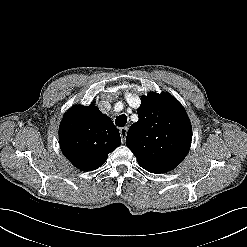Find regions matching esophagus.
Returning a JSON list of instances; mask_svg holds the SVG:
<instances>
[{"label":"esophagus","instance_id":"obj_1","mask_svg":"<svg viewBox=\"0 0 247 247\" xmlns=\"http://www.w3.org/2000/svg\"><path fill=\"white\" fill-rule=\"evenodd\" d=\"M127 131H128V127L127 126L120 128V135H121L122 143L125 142V138L127 136Z\"/></svg>","mask_w":247,"mask_h":247}]
</instances>
